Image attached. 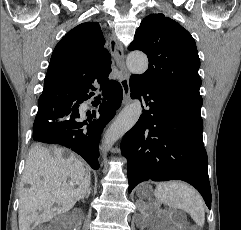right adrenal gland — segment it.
Masks as SVG:
<instances>
[{
  "mask_svg": "<svg viewBox=\"0 0 241 230\" xmlns=\"http://www.w3.org/2000/svg\"><path fill=\"white\" fill-rule=\"evenodd\" d=\"M90 192H91V187H89L86 195L82 197V200H83V201H84V198H85V197L88 198V197L90 196Z\"/></svg>",
  "mask_w": 241,
  "mask_h": 230,
  "instance_id": "2a0ac1e0",
  "label": "right adrenal gland"
}]
</instances>
